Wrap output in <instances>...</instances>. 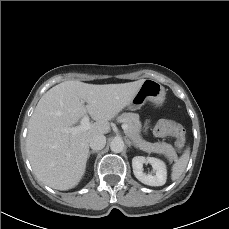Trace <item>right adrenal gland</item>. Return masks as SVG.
I'll use <instances>...</instances> for the list:
<instances>
[{
    "label": "right adrenal gland",
    "mask_w": 229,
    "mask_h": 229,
    "mask_svg": "<svg viewBox=\"0 0 229 229\" xmlns=\"http://www.w3.org/2000/svg\"><path fill=\"white\" fill-rule=\"evenodd\" d=\"M94 153H98V151H96V150L89 151L88 158L90 157L91 154H94Z\"/></svg>",
    "instance_id": "2a0ac1e0"
}]
</instances>
